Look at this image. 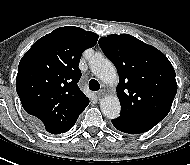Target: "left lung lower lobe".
Returning a JSON list of instances; mask_svg holds the SVG:
<instances>
[{"label": "left lung lower lobe", "instance_id": "left-lung-lower-lobe-1", "mask_svg": "<svg viewBox=\"0 0 190 165\" xmlns=\"http://www.w3.org/2000/svg\"><path fill=\"white\" fill-rule=\"evenodd\" d=\"M116 129L129 134H138L152 129L157 123L146 121H135L124 117H118L112 120Z\"/></svg>", "mask_w": 190, "mask_h": 165}]
</instances>
